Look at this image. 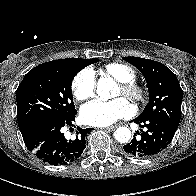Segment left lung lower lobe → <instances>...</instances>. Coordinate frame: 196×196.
I'll return each instance as SVG.
<instances>
[{"mask_svg":"<svg viewBox=\"0 0 196 196\" xmlns=\"http://www.w3.org/2000/svg\"><path fill=\"white\" fill-rule=\"evenodd\" d=\"M132 122L144 130L137 131L140 136L123 146L122 153L130 157L146 158L161 152L171 143L177 130L160 118H135Z\"/></svg>","mask_w":196,"mask_h":196,"instance_id":"left-lung-lower-lobe-1","label":"left lung lower lobe"}]
</instances>
